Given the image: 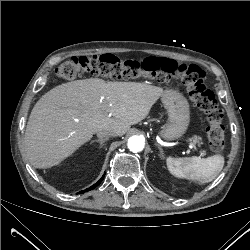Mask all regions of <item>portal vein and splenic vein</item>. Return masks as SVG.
<instances>
[{"label":"portal vein and splenic vein","mask_w":250,"mask_h":250,"mask_svg":"<svg viewBox=\"0 0 250 250\" xmlns=\"http://www.w3.org/2000/svg\"><path fill=\"white\" fill-rule=\"evenodd\" d=\"M188 143H189V147H190V148H193V147H194V144H193L192 142L188 141Z\"/></svg>","instance_id":"18ae733b"}]
</instances>
